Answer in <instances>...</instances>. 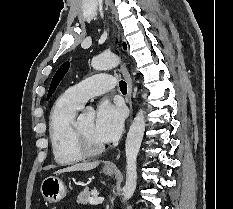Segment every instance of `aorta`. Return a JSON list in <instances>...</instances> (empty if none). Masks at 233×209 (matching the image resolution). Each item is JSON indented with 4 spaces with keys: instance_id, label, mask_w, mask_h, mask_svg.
<instances>
[{
    "instance_id": "762f6f07",
    "label": "aorta",
    "mask_w": 233,
    "mask_h": 209,
    "mask_svg": "<svg viewBox=\"0 0 233 209\" xmlns=\"http://www.w3.org/2000/svg\"><path fill=\"white\" fill-rule=\"evenodd\" d=\"M120 62V59L110 53L101 54L92 60V67L95 70H108L116 67ZM94 117V111L92 108H88L83 114L80 115V120L92 119ZM145 115L144 111H140L135 116L125 143V155H126V182L123 187L124 199H130L137 185V155L140 150L141 142L143 140L145 132Z\"/></svg>"
}]
</instances>
